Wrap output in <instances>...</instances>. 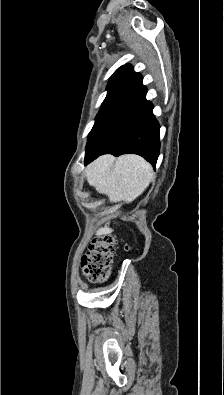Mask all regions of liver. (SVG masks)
I'll list each match as a JSON object with an SVG mask.
<instances>
[{"instance_id": "1", "label": "liver", "mask_w": 224, "mask_h": 395, "mask_svg": "<svg viewBox=\"0 0 224 395\" xmlns=\"http://www.w3.org/2000/svg\"><path fill=\"white\" fill-rule=\"evenodd\" d=\"M88 183L108 196L110 202L130 203L140 196L154 177L152 166L142 157L127 154L115 158L103 155L85 169ZM112 229H98L97 235L111 233Z\"/></svg>"}]
</instances>
